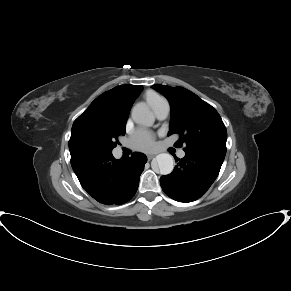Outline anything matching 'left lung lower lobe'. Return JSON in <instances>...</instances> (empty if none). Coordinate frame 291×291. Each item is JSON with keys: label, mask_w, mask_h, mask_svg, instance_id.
Wrapping results in <instances>:
<instances>
[{"label": "left lung lower lobe", "mask_w": 291, "mask_h": 291, "mask_svg": "<svg viewBox=\"0 0 291 291\" xmlns=\"http://www.w3.org/2000/svg\"><path fill=\"white\" fill-rule=\"evenodd\" d=\"M224 156L197 151H185L173 172L160 178L166 195L179 202L200 198L217 178Z\"/></svg>", "instance_id": "obj_1"}]
</instances>
